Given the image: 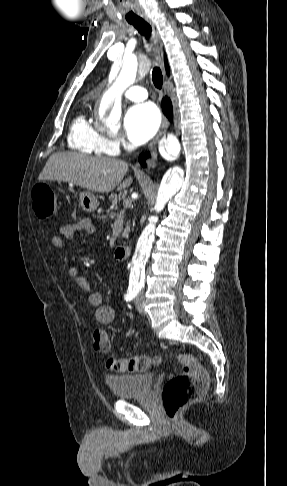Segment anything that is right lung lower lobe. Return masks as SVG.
<instances>
[{
    "instance_id": "1",
    "label": "right lung lower lobe",
    "mask_w": 287,
    "mask_h": 486,
    "mask_svg": "<svg viewBox=\"0 0 287 486\" xmlns=\"http://www.w3.org/2000/svg\"><path fill=\"white\" fill-rule=\"evenodd\" d=\"M162 108H163V112L164 114L169 118L171 119L172 118V105H171V102L170 100L165 97L162 101ZM149 154H141L140 157H139V162L141 163L142 166H145V158L148 157Z\"/></svg>"
}]
</instances>
